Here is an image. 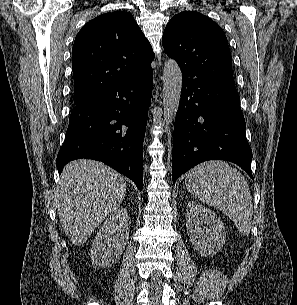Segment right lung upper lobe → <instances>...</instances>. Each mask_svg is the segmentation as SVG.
<instances>
[{
    "mask_svg": "<svg viewBox=\"0 0 297 305\" xmlns=\"http://www.w3.org/2000/svg\"><path fill=\"white\" fill-rule=\"evenodd\" d=\"M72 56L75 105L147 73L154 59L149 41L125 11L89 21L76 35Z\"/></svg>",
    "mask_w": 297,
    "mask_h": 305,
    "instance_id": "1",
    "label": "right lung upper lobe"
}]
</instances>
